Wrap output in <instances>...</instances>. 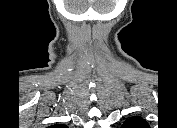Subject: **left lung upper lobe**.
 <instances>
[{
    "instance_id": "1",
    "label": "left lung upper lobe",
    "mask_w": 177,
    "mask_h": 128,
    "mask_svg": "<svg viewBox=\"0 0 177 128\" xmlns=\"http://www.w3.org/2000/svg\"><path fill=\"white\" fill-rule=\"evenodd\" d=\"M147 122L142 119L141 117H131L127 119L124 124L122 125V128H148Z\"/></svg>"
}]
</instances>
